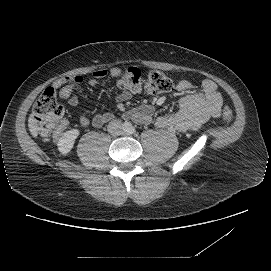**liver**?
Masks as SVG:
<instances>
[{
  "instance_id": "liver-1",
  "label": "liver",
  "mask_w": 271,
  "mask_h": 271,
  "mask_svg": "<svg viewBox=\"0 0 271 271\" xmlns=\"http://www.w3.org/2000/svg\"><path fill=\"white\" fill-rule=\"evenodd\" d=\"M28 127H29L31 135L36 138L38 136V131H37V126L34 122L33 115H30L28 119Z\"/></svg>"
}]
</instances>
